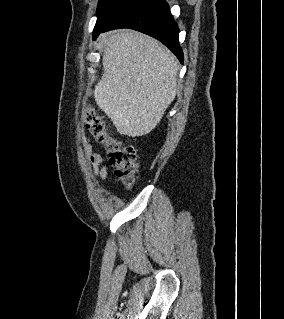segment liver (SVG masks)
<instances>
[{
	"label": "liver",
	"instance_id": "liver-1",
	"mask_svg": "<svg viewBox=\"0 0 284 319\" xmlns=\"http://www.w3.org/2000/svg\"><path fill=\"white\" fill-rule=\"evenodd\" d=\"M103 74L95 85L98 107L120 134L152 131L176 96L178 65L157 40L131 30L104 33Z\"/></svg>",
	"mask_w": 284,
	"mask_h": 319
}]
</instances>
